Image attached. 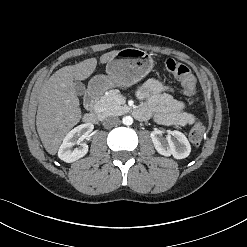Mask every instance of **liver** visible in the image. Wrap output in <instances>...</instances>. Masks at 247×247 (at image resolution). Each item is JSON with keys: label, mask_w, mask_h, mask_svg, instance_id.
I'll return each instance as SVG.
<instances>
[{"label": "liver", "mask_w": 247, "mask_h": 247, "mask_svg": "<svg viewBox=\"0 0 247 247\" xmlns=\"http://www.w3.org/2000/svg\"><path fill=\"white\" fill-rule=\"evenodd\" d=\"M118 52L113 50L103 54L100 63H107ZM96 66V58L65 66L43 84L39 95L36 126L43 146L50 155L57 153L65 135L82 118L74 82L87 79L95 71Z\"/></svg>", "instance_id": "obj_1"}]
</instances>
